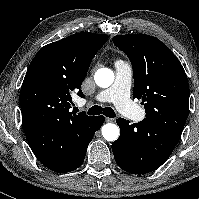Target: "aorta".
I'll use <instances>...</instances> for the list:
<instances>
[{
  "label": "aorta",
  "instance_id": "762f6f07",
  "mask_svg": "<svg viewBox=\"0 0 199 199\" xmlns=\"http://www.w3.org/2000/svg\"><path fill=\"white\" fill-rule=\"evenodd\" d=\"M94 80L98 86L107 88L113 83L114 74L108 68H101L95 73ZM119 134V127L116 124L107 123L102 127V135L107 141H115Z\"/></svg>",
  "mask_w": 199,
  "mask_h": 199
}]
</instances>
